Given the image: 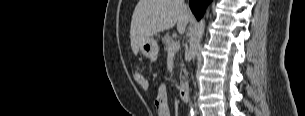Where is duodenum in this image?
<instances>
[{
  "instance_id": "duodenum-1",
  "label": "duodenum",
  "mask_w": 305,
  "mask_h": 116,
  "mask_svg": "<svg viewBox=\"0 0 305 116\" xmlns=\"http://www.w3.org/2000/svg\"><path fill=\"white\" fill-rule=\"evenodd\" d=\"M179 98L182 102H188L189 100V89L186 83H182L179 87Z\"/></svg>"
}]
</instances>
